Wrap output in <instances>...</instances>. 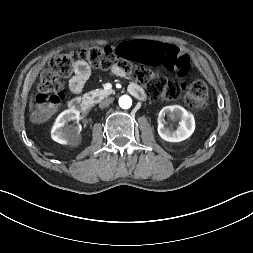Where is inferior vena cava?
<instances>
[{
    "instance_id": "1",
    "label": "inferior vena cava",
    "mask_w": 253,
    "mask_h": 253,
    "mask_svg": "<svg viewBox=\"0 0 253 253\" xmlns=\"http://www.w3.org/2000/svg\"><path fill=\"white\" fill-rule=\"evenodd\" d=\"M113 102L112 98L104 99L99 103L100 108L108 107Z\"/></svg>"
}]
</instances>
